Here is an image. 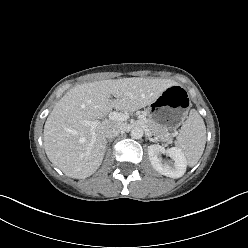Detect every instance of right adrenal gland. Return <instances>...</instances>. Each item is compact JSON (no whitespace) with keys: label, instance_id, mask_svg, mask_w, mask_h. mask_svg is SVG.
Returning <instances> with one entry per match:
<instances>
[{"label":"right adrenal gland","instance_id":"right-adrenal-gland-1","mask_svg":"<svg viewBox=\"0 0 248 248\" xmlns=\"http://www.w3.org/2000/svg\"><path fill=\"white\" fill-rule=\"evenodd\" d=\"M112 142V140L111 139H109V140H107L106 141V143H107V145H106V148H108L109 147V145H110V143Z\"/></svg>","mask_w":248,"mask_h":248}]
</instances>
